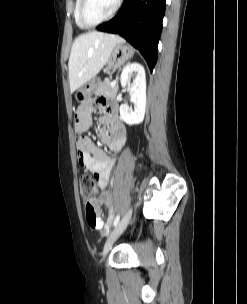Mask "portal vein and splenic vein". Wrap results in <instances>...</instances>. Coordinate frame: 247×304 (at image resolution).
Returning a JSON list of instances; mask_svg holds the SVG:
<instances>
[{
	"label": "portal vein and splenic vein",
	"instance_id": "portal-vein-and-splenic-vein-1",
	"mask_svg": "<svg viewBox=\"0 0 247 304\" xmlns=\"http://www.w3.org/2000/svg\"><path fill=\"white\" fill-rule=\"evenodd\" d=\"M115 84H116V80H114L111 85L114 86Z\"/></svg>",
	"mask_w": 247,
	"mask_h": 304
}]
</instances>
